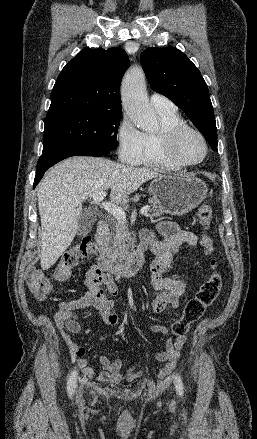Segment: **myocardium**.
<instances>
[{
    "label": "myocardium",
    "instance_id": "f54148a6",
    "mask_svg": "<svg viewBox=\"0 0 257 439\" xmlns=\"http://www.w3.org/2000/svg\"><path fill=\"white\" fill-rule=\"evenodd\" d=\"M188 132L194 133L203 144L204 153L202 158L198 161H185L177 153L179 140ZM161 144L168 160L179 168H189L201 164L206 159L209 152L208 143L203 133L188 124H181L168 129L161 138Z\"/></svg>",
    "mask_w": 257,
    "mask_h": 439
}]
</instances>
